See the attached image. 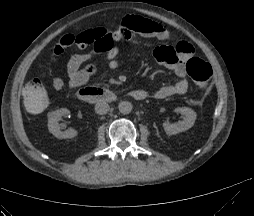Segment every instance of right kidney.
<instances>
[{"mask_svg": "<svg viewBox=\"0 0 254 216\" xmlns=\"http://www.w3.org/2000/svg\"><path fill=\"white\" fill-rule=\"evenodd\" d=\"M69 113L70 111L67 108H61L48 114V129L50 133L59 139L74 138L78 134L74 129L61 130L58 120Z\"/></svg>", "mask_w": 254, "mask_h": 216, "instance_id": "1", "label": "right kidney"}]
</instances>
